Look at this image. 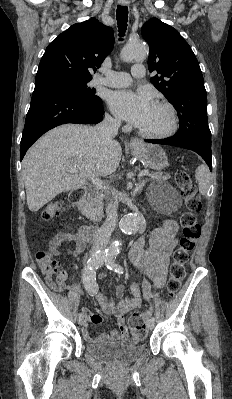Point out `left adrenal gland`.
Here are the masks:
<instances>
[{"label": "left adrenal gland", "mask_w": 232, "mask_h": 399, "mask_svg": "<svg viewBox=\"0 0 232 399\" xmlns=\"http://www.w3.org/2000/svg\"><path fill=\"white\" fill-rule=\"evenodd\" d=\"M144 184H145V182H143V180H142V182H140V184H138V186H136L137 190H139V194H140V192H142V188H144Z\"/></svg>", "instance_id": "a2214340"}]
</instances>
